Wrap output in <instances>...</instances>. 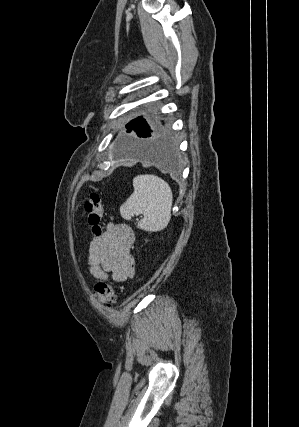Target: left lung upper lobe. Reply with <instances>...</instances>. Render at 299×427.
Segmentation results:
<instances>
[{
	"label": "left lung upper lobe",
	"mask_w": 299,
	"mask_h": 427,
	"mask_svg": "<svg viewBox=\"0 0 299 427\" xmlns=\"http://www.w3.org/2000/svg\"><path fill=\"white\" fill-rule=\"evenodd\" d=\"M127 132H131L132 130L137 133L138 137L145 138L146 134L153 128L152 123H148L142 117H138L132 120L130 123L126 125Z\"/></svg>",
	"instance_id": "obj_1"
}]
</instances>
